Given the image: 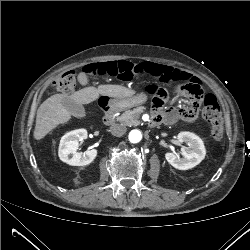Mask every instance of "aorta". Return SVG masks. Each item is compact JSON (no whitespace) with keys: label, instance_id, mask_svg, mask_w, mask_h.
<instances>
[{"label":"aorta","instance_id":"762f6f07","mask_svg":"<svg viewBox=\"0 0 250 250\" xmlns=\"http://www.w3.org/2000/svg\"><path fill=\"white\" fill-rule=\"evenodd\" d=\"M129 141L131 142V143H138V142H140L141 141V139H142V133H141V131H139V130H132L130 133H129Z\"/></svg>","mask_w":250,"mask_h":250}]
</instances>
